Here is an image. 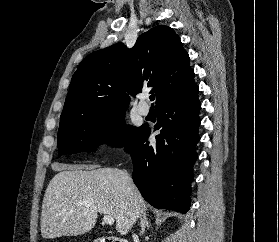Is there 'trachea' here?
<instances>
[{"instance_id": "3493384b", "label": "trachea", "mask_w": 279, "mask_h": 242, "mask_svg": "<svg viewBox=\"0 0 279 242\" xmlns=\"http://www.w3.org/2000/svg\"><path fill=\"white\" fill-rule=\"evenodd\" d=\"M155 95H150V101H154Z\"/></svg>"}]
</instances>
